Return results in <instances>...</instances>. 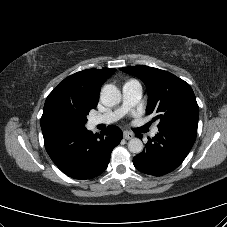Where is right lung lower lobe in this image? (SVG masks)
Segmentation results:
<instances>
[{
    "mask_svg": "<svg viewBox=\"0 0 227 227\" xmlns=\"http://www.w3.org/2000/svg\"><path fill=\"white\" fill-rule=\"evenodd\" d=\"M47 153L55 165L74 179H91L108 166L110 155L122 137V131L110 125L101 135L86 128L43 133Z\"/></svg>",
    "mask_w": 227,
    "mask_h": 227,
    "instance_id": "1",
    "label": "right lung lower lobe"
}]
</instances>
